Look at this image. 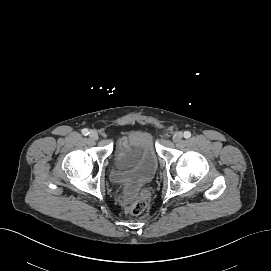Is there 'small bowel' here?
<instances>
[{
    "label": "small bowel",
    "instance_id": "obj_1",
    "mask_svg": "<svg viewBox=\"0 0 271 271\" xmlns=\"http://www.w3.org/2000/svg\"><path fill=\"white\" fill-rule=\"evenodd\" d=\"M118 147L121 155H125L128 149V141L125 137L121 138L118 142Z\"/></svg>",
    "mask_w": 271,
    "mask_h": 271
}]
</instances>
